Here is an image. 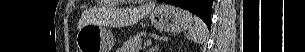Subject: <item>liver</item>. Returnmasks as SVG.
Segmentation results:
<instances>
[{"label": "liver", "instance_id": "6515ba94", "mask_svg": "<svg viewBox=\"0 0 305 52\" xmlns=\"http://www.w3.org/2000/svg\"><path fill=\"white\" fill-rule=\"evenodd\" d=\"M153 10L152 5L139 6L135 8H112L108 11V23L115 27L130 26L145 17ZM94 18L91 16L90 11H85L80 19L78 29L87 24H92Z\"/></svg>", "mask_w": 305, "mask_h": 52}]
</instances>
